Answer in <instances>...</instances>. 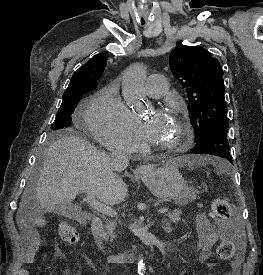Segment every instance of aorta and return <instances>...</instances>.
<instances>
[{"instance_id":"aorta-1","label":"aorta","mask_w":263,"mask_h":275,"mask_svg":"<svg viewBox=\"0 0 263 275\" xmlns=\"http://www.w3.org/2000/svg\"><path fill=\"white\" fill-rule=\"evenodd\" d=\"M146 70L142 64L131 65L124 73L122 81V94L129 103L138 102L144 94ZM138 273L143 275L146 270L143 255L138 256Z\"/></svg>"}]
</instances>
